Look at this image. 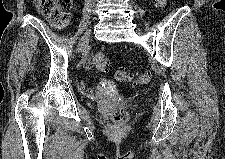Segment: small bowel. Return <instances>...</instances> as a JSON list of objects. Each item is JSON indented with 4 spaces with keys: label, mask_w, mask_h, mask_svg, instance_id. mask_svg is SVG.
<instances>
[{
    "label": "small bowel",
    "mask_w": 225,
    "mask_h": 159,
    "mask_svg": "<svg viewBox=\"0 0 225 159\" xmlns=\"http://www.w3.org/2000/svg\"><path fill=\"white\" fill-rule=\"evenodd\" d=\"M93 64H94V62H93L92 57L91 56H87L85 58V60H84V66L89 68V67L93 66ZM98 86L99 85H97L95 87H92V88H87L83 81H79L78 82L79 89L84 91V92H86V93H89V94H94L97 91Z\"/></svg>",
    "instance_id": "small-bowel-1"
}]
</instances>
